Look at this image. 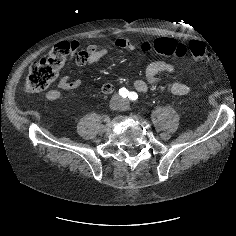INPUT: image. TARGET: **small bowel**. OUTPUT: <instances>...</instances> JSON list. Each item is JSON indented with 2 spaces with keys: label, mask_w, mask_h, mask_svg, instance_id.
I'll return each mask as SVG.
<instances>
[{
  "label": "small bowel",
  "mask_w": 236,
  "mask_h": 236,
  "mask_svg": "<svg viewBox=\"0 0 236 236\" xmlns=\"http://www.w3.org/2000/svg\"><path fill=\"white\" fill-rule=\"evenodd\" d=\"M149 41L143 42L142 46ZM72 49L77 51L75 55V65L76 66H92L100 59L105 57L109 50L107 48H99L94 43H89L83 48L82 43L79 40H73L70 43ZM115 46L119 49L134 50L136 48V43L131 38H117L115 40ZM161 73H168L174 76H180V70L167 62L155 61L150 63L145 69V80L137 79L133 82L134 88L139 92H146L149 86L158 87L160 86L159 75ZM82 86L81 80H71L70 76L65 75L59 82V89H51L46 93L47 99L51 101L58 100L61 97L60 90H76ZM166 89L174 95H186L189 93L190 88L187 84L181 82H173L166 86ZM114 86L111 83H105L102 86V92L109 95L113 92Z\"/></svg>",
  "instance_id": "c3829d8e"
}]
</instances>
